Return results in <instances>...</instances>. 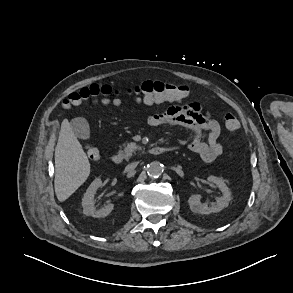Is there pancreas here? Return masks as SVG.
<instances>
[{
    "mask_svg": "<svg viewBox=\"0 0 293 293\" xmlns=\"http://www.w3.org/2000/svg\"><path fill=\"white\" fill-rule=\"evenodd\" d=\"M141 147H139L136 143L134 142H130L127 143V145H124L123 150L121 151L124 155V158L126 160H128L133 153H135L136 151L140 150Z\"/></svg>",
    "mask_w": 293,
    "mask_h": 293,
    "instance_id": "obj_1",
    "label": "pancreas"
}]
</instances>
